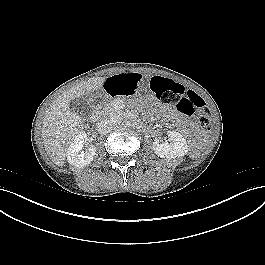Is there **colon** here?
<instances>
[{
    "instance_id": "1",
    "label": "colon",
    "mask_w": 265,
    "mask_h": 265,
    "mask_svg": "<svg viewBox=\"0 0 265 265\" xmlns=\"http://www.w3.org/2000/svg\"><path fill=\"white\" fill-rule=\"evenodd\" d=\"M151 86L161 103L175 105L181 113L194 116L197 123L204 129L211 127L210 111L198 94L187 91L181 84L164 77H154Z\"/></svg>"
}]
</instances>
